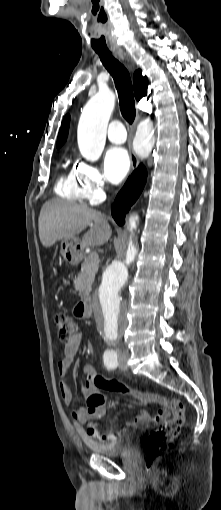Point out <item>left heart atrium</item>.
<instances>
[{
  "label": "left heart atrium",
  "mask_w": 221,
  "mask_h": 510,
  "mask_svg": "<svg viewBox=\"0 0 221 510\" xmlns=\"http://www.w3.org/2000/svg\"><path fill=\"white\" fill-rule=\"evenodd\" d=\"M104 167L108 179L112 183L121 182L130 168V159L126 149L111 147L105 154Z\"/></svg>",
  "instance_id": "obj_1"
}]
</instances>
